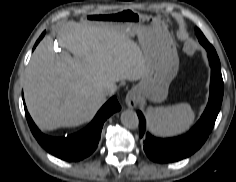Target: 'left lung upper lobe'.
<instances>
[{"label": "left lung upper lobe", "instance_id": "5c2ea615", "mask_svg": "<svg viewBox=\"0 0 236 182\" xmlns=\"http://www.w3.org/2000/svg\"><path fill=\"white\" fill-rule=\"evenodd\" d=\"M195 30L199 42L206 48L208 52L210 66L221 68L220 61L214 47L207 41L203 33L198 28H196Z\"/></svg>", "mask_w": 236, "mask_h": 182}]
</instances>
